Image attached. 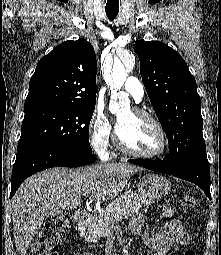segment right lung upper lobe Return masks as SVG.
Segmentation results:
<instances>
[{"mask_svg": "<svg viewBox=\"0 0 221 255\" xmlns=\"http://www.w3.org/2000/svg\"><path fill=\"white\" fill-rule=\"evenodd\" d=\"M96 65L94 49L87 40L58 45L38 62L24 110L95 104Z\"/></svg>", "mask_w": 221, "mask_h": 255, "instance_id": "cb5924a9", "label": "right lung upper lobe"}]
</instances>
